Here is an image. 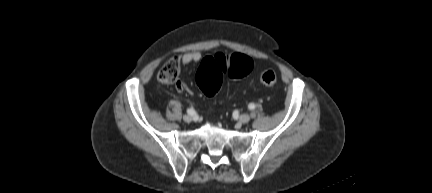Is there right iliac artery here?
Listing matches in <instances>:
<instances>
[{
	"mask_svg": "<svg viewBox=\"0 0 432 193\" xmlns=\"http://www.w3.org/2000/svg\"><path fill=\"white\" fill-rule=\"evenodd\" d=\"M187 113H188L189 115H191V116H193V115L196 114V112H195V110H194L193 108H189V109H187Z\"/></svg>",
	"mask_w": 432,
	"mask_h": 193,
	"instance_id": "obj_1",
	"label": "right iliac artery"
}]
</instances>
